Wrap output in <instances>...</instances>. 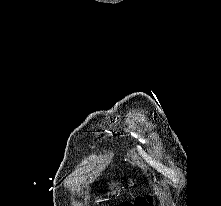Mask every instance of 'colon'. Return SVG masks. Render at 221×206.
I'll use <instances>...</instances> for the list:
<instances>
[{"label": "colon", "instance_id": "colon-1", "mask_svg": "<svg viewBox=\"0 0 221 206\" xmlns=\"http://www.w3.org/2000/svg\"><path fill=\"white\" fill-rule=\"evenodd\" d=\"M150 202L151 198L149 196H141L138 197L134 202H122L118 206H150Z\"/></svg>", "mask_w": 221, "mask_h": 206}]
</instances>
